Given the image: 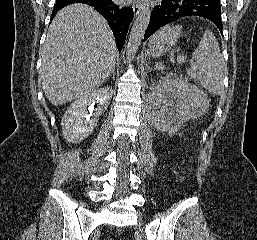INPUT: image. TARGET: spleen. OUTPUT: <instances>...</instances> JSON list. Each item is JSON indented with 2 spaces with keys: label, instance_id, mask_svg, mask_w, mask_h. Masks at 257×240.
I'll return each instance as SVG.
<instances>
[{
  "label": "spleen",
  "instance_id": "obj_1",
  "mask_svg": "<svg viewBox=\"0 0 257 240\" xmlns=\"http://www.w3.org/2000/svg\"><path fill=\"white\" fill-rule=\"evenodd\" d=\"M182 26H165L153 35L151 41L159 44V48L170 49L177 42L181 34ZM196 61L187 74L208 92L219 95L224 90V77L227 71L223 56L220 54V47L213 32L206 30L201 38L198 47L192 53ZM156 67L164 70L165 66L156 63Z\"/></svg>",
  "mask_w": 257,
  "mask_h": 240
}]
</instances>
